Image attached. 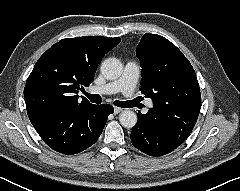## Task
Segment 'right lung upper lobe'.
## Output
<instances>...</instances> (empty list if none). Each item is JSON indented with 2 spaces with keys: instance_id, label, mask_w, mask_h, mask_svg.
<instances>
[{
  "instance_id": "right-lung-upper-lobe-1",
  "label": "right lung upper lobe",
  "mask_w": 240,
  "mask_h": 191,
  "mask_svg": "<svg viewBox=\"0 0 240 191\" xmlns=\"http://www.w3.org/2000/svg\"><path fill=\"white\" fill-rule=\"evenodd\" d=\"M120 38L82 36L62 39L49 48L36 62L29 75L24 98L28 116L57 106L91 104L78 91L93 82L104 54Z\"/></svg>"
}]
</instances>
